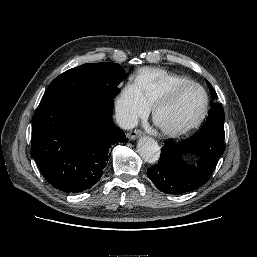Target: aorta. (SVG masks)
Segmentation results:
<instances>
[{
	"instance_id": "obj_1",
	"label": "aorta",
	"mask_w": 257,
	"mask_h": 257,
	"mask_svg": "<svg viewBox=\"0 0 257 257\" xmlns=\"http://www.w3.org/2000/svg\"><path fill=\"white\" fill-rule=\"evenodd\" d=\"M138 153L145 162L156 163L160 157V147L151 137L143 136L137 144Z\"/></svg>"
}]
</instances>
